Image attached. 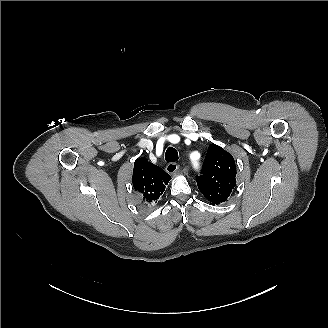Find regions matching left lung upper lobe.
Returning a JSON list of instances; mask_svg holds the SVG:
<instances>
[{
    "label": "left lung upper lobe",
    "mask_w": 328,
    "mask_h": 328,
    "mask_svg": "<svg viewBox=\"0 0 328 328\" xmlns=\"http://www.w3.org/2000/svg\"><path fill=\"white\" fill-rule=\"evenodd\" d=\"M236 166L230 153L211 144L201 175L197 177L200 192L213 205L225 202L236 185Z\"/></svg>",
    "instance_id": "1"
}]
</instances>
